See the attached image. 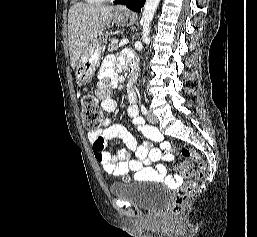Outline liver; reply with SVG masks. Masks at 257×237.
<instances>
[{"mask_svg": "<svg viewBox=\"0 0 257 237\" xmlns=\"http://www.w3.org/2000/svg\"><path fill=\"white\" fill-rule=\"evenodd\" d=\"M113 7L74 4L68 13V41L73 69L88 44L105 30L113 19Z\"/></svg>", "mask_w": 257, "mask_h": 237, "instance_id": "liver-1", "label": "liver"}]
</instances>
